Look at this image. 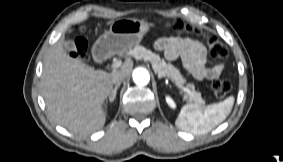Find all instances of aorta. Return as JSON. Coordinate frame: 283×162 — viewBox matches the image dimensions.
I'll list each match as a JSON object with an SVG mask.
<instances>
[{"label":"aorta","mask_w":283,"mask_h":162,"mask_svg":"<svg viewBox=\"0 0 283 162\" xmlns=\"http://www.w3.org/2000/svg\"><path fill=\"white\" fill-rule=\"evenodd\" d=\"M133 81L139 86H145L150 81L149 72L144 68H136L133 71Z\"/></svg>","instance_id":"aorta-1"}]
</instances>
